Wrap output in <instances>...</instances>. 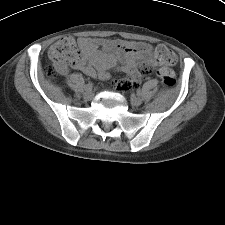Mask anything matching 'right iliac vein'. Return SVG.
<instances>
[{
    "label": "right iliac vein",
    "mask_w": 225,
    "mask_h": 225,
    "mask_svg": "<svg viewBox=\"0 0 225 225\" xmlns=\"http://www.w3.org/2000/svg\"><path fill=\"white\" fill-rule=\"evenodd\" d=\"M84 96H85V98H87L88 100H89V99H92V97H93V92H92V90H91V89H87L86 92L84 93Z\"/></svg>",
    "instance_id": "right-iliac-vein-1"
}]
</instances>
